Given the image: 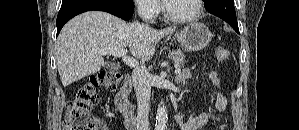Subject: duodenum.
<instances>
[{
  "label": "duodenum",
  "instance_id": "410a0bca",
  "mask_svg": "<svg viewBox=\"0 0 299 130\" xmlns=\"http://www.w3.org/2000/svg\"><path fill=\"white\" fill-rule=\"evenodd\" d=\"M132 89V79L130 75L125 76L124 83L115 96V105L118 111L125 119V125L128 130H137V119L134 109L129 101V95Z\"/></svg>",
  "mask_w": 299,
  "mask_h": 130
}]
</instances>
